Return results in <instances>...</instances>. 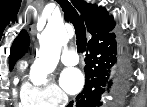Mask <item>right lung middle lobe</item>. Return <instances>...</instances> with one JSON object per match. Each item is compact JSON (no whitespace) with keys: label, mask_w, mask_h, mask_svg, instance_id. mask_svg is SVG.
<instances>
[{"label":"right lung middle lobe","mask_w":147,"mask_h":107,"mask_svg":"<svg viewBox=\"0 0 147 107\" xmlns=\"http://www.w3.org/2000/svg\"><path fill=\"white\" fill-rule=\"evenodd\" d=\"M12 69H13V66L10 67V70H12Z\"/></svg>","instance_id":"dd1d6c3e"}]
</instances>
